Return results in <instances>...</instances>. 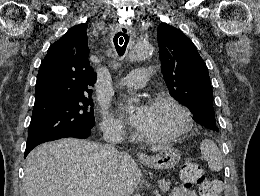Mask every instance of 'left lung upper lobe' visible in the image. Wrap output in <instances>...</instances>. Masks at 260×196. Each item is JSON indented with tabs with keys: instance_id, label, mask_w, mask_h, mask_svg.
Instances as JSON below:
<instances>
[{
	"instance_id": "5c2ea615",
	"label": "left lung upper lobe",
	"mask_w": 260,
	"mask_h": 196,
	"mask_svg": "<svg viewBox=\"0 0 260 196\" xmlns=\"http://www.w3.org/2000/svg\"><path fill=\"white\" fill-rule=\"evenodd\" d=\"M157 40L161 71L170 95L192 113L201 107H213L208 70L193 42L167 23L158 26ZM204 127L219 132L216 121Z\"/></svg>"
}]
</instances>
